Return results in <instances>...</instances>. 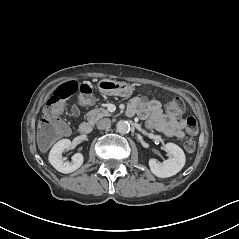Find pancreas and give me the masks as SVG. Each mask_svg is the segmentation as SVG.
Listing matches in <instances>:
<instances>
[{
  "label": "pancreas",
  "instance_id": "pancreas-1",
  "mask_svg": "<svg viewBox=\"0 0 239 239\" xmlns=\"http://www.w3.org/2000/svg\"><path fill=\"white\" fill-rule=\"evenodd\" d=\"M111 115L112 113L104 108H94L85 114L87 120L92 125L96 124L100 119L110 117Z\"/></svg>",
  "mask_w": 239,
  "mask_h": 239
}]
</instances>
